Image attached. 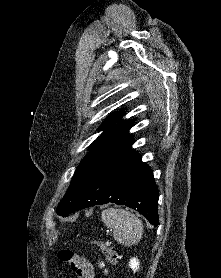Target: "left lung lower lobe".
Returning a JSON list of instances; mask_svg holds the SVG:
<instances>
[{
  "instance_id": "0a47b994",
  "label": "left lung lower lobe",
  "mask_w": 221,
  "mask_h": 278,
  "mask_svg": "<svg viewBox=\"0 0 221 278\" xmlns=\"http://www.w3.org/2000/svg\"><path fill=\"white\" fill-rule=\"evenodd\" d=\"M128 148L107 163L93 178L71 212L115 203L135 209L154 226L159 224L158 188L151 168Z\"/></svg>"
}]
</instances>
